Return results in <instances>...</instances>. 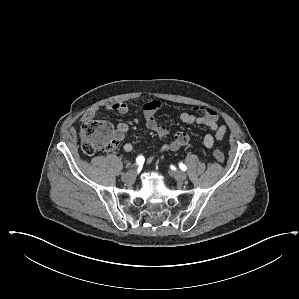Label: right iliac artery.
Listing matches in <instances>:
<instances>
[{
	"label": "right iliac artery",
	"mask_w": 299,
	"mask_h": 299,
	"mask_svg": "<svg viewBox=\"0 0 299 299\" xmlns=\"http://www.w3.org/2000/svg\"><path fill=\"white\" fill-rule=\"evenodd\" d=\"M144 160L145 158L142 155L138 156L136 159V165L142 166L144 164Z\"/></svg>",
	"instance_id": "obj_1"
}]
</instances>
